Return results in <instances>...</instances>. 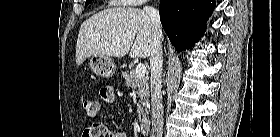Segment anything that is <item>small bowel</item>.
Masks as SVG:
<instances>
[{
  "instance_id": "c3829d8e",
  "label": "small bowel",
  "mask_w": 280,
  "mask_h": 137,
  "mask_svg": "<svg viewBox=\"0 0 280 137\" xmlns=\"http://www.w3.org/2000/svg\"><path fill=\"white\" fill-rule=\"evenodd\" d=\"M102 90H107L109 92H114L113 87L108 86ZM112 103V102H108ZM99 133L100 137H125L122 133L112 132L108 126L102 122H97L86 128L82 134L83 137H90L92 133Z\"/></svg>"
}]
</instances>
